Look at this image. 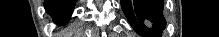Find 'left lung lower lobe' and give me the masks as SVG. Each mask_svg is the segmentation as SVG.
Returning a JSON list of instances; mask_svg holds the SVG:
<instances>
[{"instance_id": "1", "label": "left lung lower lobe", "mask_w": 219, "mask_h": 37, "mask_svg": "<svg viewBox=\"0 0 219 37\" xmlns=\"http://www.w3.org/2000/svg\"><path fill=\"white\" fill-rule=\"evenodd\" d=\"M121 7L134 30L145 37H158L166 26L163 0H121Z\"/></svg>"}]
</instances>
